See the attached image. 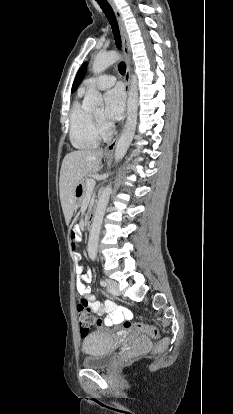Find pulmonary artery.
<instances>
[{"label":"pulmonary artery","mask_w":233,"mask_h":414,"mask_svg":"<svg viewBox=\"0 0 233 414\" xmlns=\"http://www.w3.org/2000/svg\"><path fill=\"white\" fill-rule=\"evenodd\" d=\"M116 82V77L113 75L103 74L97 77H91L86 79L82 84L83 90H89L93 88L107 89L113 86Z\"/></svg>","instance_id":"1"}]
</instances>
